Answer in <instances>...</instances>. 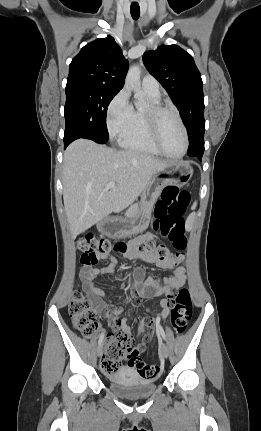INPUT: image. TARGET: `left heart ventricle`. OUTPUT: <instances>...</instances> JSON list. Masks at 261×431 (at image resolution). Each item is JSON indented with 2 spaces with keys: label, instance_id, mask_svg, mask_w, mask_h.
Here are the masks:
<instances>
[{
  "label": "left heart ventricle",
  "instance_id": "b2bd125f",
  "mask_svg": "<svg viewBox=\"0 0 261 431\" xmlns=\"http://www.w3.org/2000/svg\"><path fill=\"white\" fill-rule=\"evenodd\" d=\"M159 138L164 150L172 155H180L184 149L182 130L173 113H165L159 120Z\"/></svg>",
  "mask_w": 261,
  "mask_h": 431
}]
</instances>
